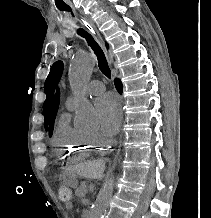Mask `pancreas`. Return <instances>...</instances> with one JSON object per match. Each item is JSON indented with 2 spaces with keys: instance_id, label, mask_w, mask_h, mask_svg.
Listing matches in <instances>:
<instances>
[{
  "instance_id": "pancreas-1",
  "label": "pancreas",
  "mask_w": 211,
  "mask_h": 218,
  "mask_svg": "<svg viewBox=\"0 0 211 218\" xmlns=\"http://www.w3.org/2000/svg\"><path fill=\"white\" fill-rule=\"evenodd\" d=\"M81 190H76V195H87L86 186H81Z\"/></svg>"
}]
</instances>
